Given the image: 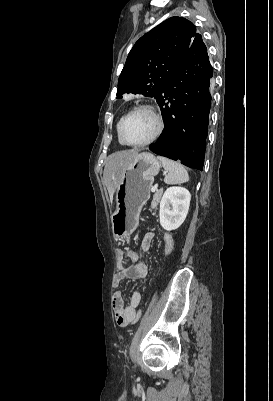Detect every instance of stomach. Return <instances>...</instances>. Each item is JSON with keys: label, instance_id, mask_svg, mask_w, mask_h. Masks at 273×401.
Segmentation results:
<instances>
[{"label": "stomach", "instance_id": "obj_1", "mask_svg": "<svg viewBox=\"0 0 273 401\" xmlns=\"http://www.w3.org/2000/svg\"><path fill=\"white\" fill-rule=\"evenodd\" d=\"M161 162L152 152H141L138 158L122 170V180L115 192L116 211L111 215L113 237L124 239L139 225L143 205L150 198V190Z\"/></svg>", "mask_w": 273, "mask_h": 401}]
</instances>
